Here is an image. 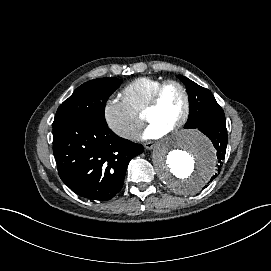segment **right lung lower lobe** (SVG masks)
Listing matches in <instances>:
<instances>
[{
	"label": "right lung lower lobe",
	"instance_id": "98d812e1",
	"mask_svg": "<svg viewBox=\"0 0 271 271\" xmlns=\"http://www.w3.org/2000/svg\"><path fill=\"white\" fill-rule=\"evenodd\" d=\"M144 148L114 134L106 123L75 119L53 127L61 180L77 195L108 201L121 190L129 161Z\"/></svg>",
	"mask_w": 271,
	"mask_h": 271
}]
</instances>
